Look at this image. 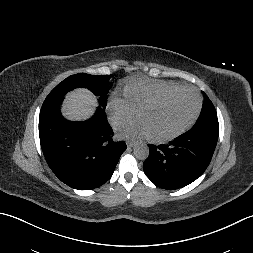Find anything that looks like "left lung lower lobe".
<instances>
[{
	"mask_svg": "<svg viewBox=\"0 0 253 253\" xmlns=\"http://www.w3.org/2000/svg\"><path fill=\"white\" fill-rule=\"evenodd\" d=\"M219 127L200 124L168 145H149L143 169L163 189L182 188L200 177L208 167L218 140Z\"/></svg>",
	"mask_w": 253,
	"mask_h": 253,
	"instance_id": "obj_1",
	"label": "left lung lower lobe"
}]
</instances>
